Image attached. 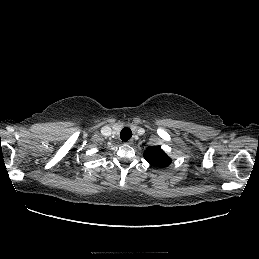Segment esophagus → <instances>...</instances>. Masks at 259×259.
Instances as JSON below:
<instances>
[{
  "label": "esophagus",
  "mask_w": 259,
  "mask_h": 259,
  "mask_svg": "<svg viewBox=\"0 0 259 259\" xmlns=\"http://www.w3.org/2000/svg\"><path fill=\"white\" fill-rule=\"evenodd\" d=\"M127 144L131 145L133 143V139H130L129 141L126 142Z\"/></svg>",
  "instance_id": "esophagus-1"
}]
</instances>
